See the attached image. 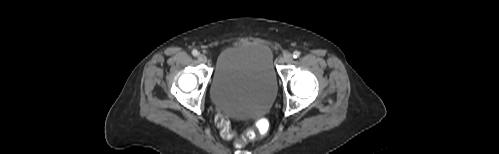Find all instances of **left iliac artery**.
<instances>
[{"label":"left iliac artery","mask_w":499,"mask_h":154,"mask_svg":"<svg viewBox=\"0 0 499 154\" xmlns=\"http://www.w3.org/2000/svg\"><path fill=\"white\" fill-rule=\"evenodd\" d=\"M300 56V52L299 51H294L293 52V57L294 58H298Z\"/></svg>","instance_id":"44dca946"}]
</instances>
